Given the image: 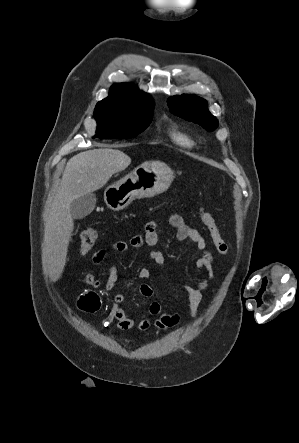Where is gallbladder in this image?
Wrapping results in <instances>:
<instances>
[{
    "label": "gallbladder",
    "instance_id": "gallbladder-1",
    "mask_svg": "<svg viewBox=\"0 0 299 443\" xmlns=\"http://www.w3.org/2000/svg\"><path fill=\"white\" fill-rule=\"evenodd\" d=\"M96 195L88 193L77 199H74L70 205V212L73 219H83L88 216L96 205Z\"/></svg>",
    "mask_w": 299,
    "mask_h": 443
}]
</instances>
